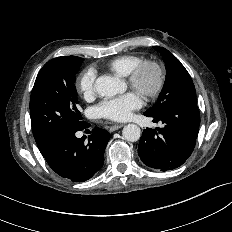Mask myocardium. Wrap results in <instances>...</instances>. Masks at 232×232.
I'll return each mask as SVG.
<instances>
[{
	"mask_svg": "<svg viewBox=\"0 0 232 232\" xmlns=\"http://www.w3.org/2000/svg\"><path fill=\"white\" fill-rule=\"evenodd\" d=\"M154 73V83L150 88L142 86V76L145 71ZM129 85L148 99L157 97L163 90L165 84V71L163 66L156 60L147 59L139 62L127 76Z\"/></svg>",
	"mask_w": 232,
	"mask_h": 232,
	"instance_id": "1",
	"label": "myocardium"
}]
</instances>
